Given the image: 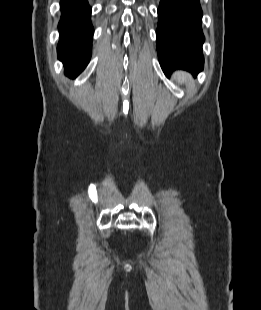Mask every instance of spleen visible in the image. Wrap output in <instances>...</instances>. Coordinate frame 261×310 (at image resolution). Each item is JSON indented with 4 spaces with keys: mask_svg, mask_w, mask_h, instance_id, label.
<instances>
[{
    "mask_svg": "<svg viewBox=\"0 0 261 310\" xmlns=\"http://www.w3.org/2000/svg\"><path fill=\"white\" fill-rule=\"evenodd\" d=\"M175 78L179 83H184L187 81H192L190 75L187 72L178 71L175 73Z\"/></svg>",
    "mask_w": 261,
    "mask_h": 310,
    "instance_id": "3e777b00",
    "label": "spleen"
}]
</instances>
